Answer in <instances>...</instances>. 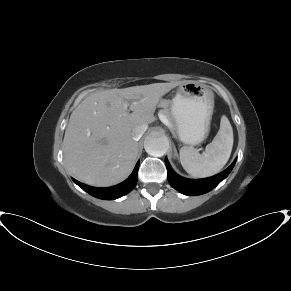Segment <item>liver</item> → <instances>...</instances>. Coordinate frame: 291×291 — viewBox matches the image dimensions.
<instances>
[{
	"label": "liver",
	"mask_w": 291,
	"mask_h": 291,
	"mask_svg": "<svg viewBox=\"0 0 291 291\" xmlns=\"http://www.w3.org/2000/svg\"><path fill=\"white\" fill-rule=\"evenodd\" d=\"M179 82L95 92L71 113L63 140L68 170L80 181L107 187L125 180L139 151L136 126H146L160 98ZM132 111L129 113L127 107Z\"/></svg>",
	"instance_id": "obj_1"
}]
</instances>
